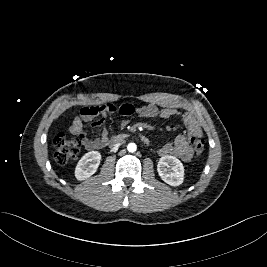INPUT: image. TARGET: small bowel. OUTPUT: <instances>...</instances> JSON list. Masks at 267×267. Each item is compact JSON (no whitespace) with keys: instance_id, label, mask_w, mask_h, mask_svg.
Returning <instances> with one entry per match:
<instances>
[{"instance_id":"small-bowel-1","label":"small bowel","mask_w":267,"mask_h":267,"mask_svg":"<svg viewBox=\"0 0 267 267\" xmlns=\"http://www.w3.org/2000/svg\"><path fill=\"white\" fill-rule=\"evenodd\" d=\"M111 112H116L122 116H130L138 114L145 118H179L185 127L186 135H178L174 142L165 144L160 150L161 156H175L183 161H188L192 157L193 150L190 145V138L201 137L202 129L197 119L191 113L180 114L174 108H158L154 104H147L139 108H135L131 104H122L114 106L111 104H99L83 107L79 114L76 115L71 126V132L75 136L83 137V144L88 150H97L105 147L109 141L108 131L102 128L107 115ZM84 123H90L92 127L100 130V135L97 138L89 139L84 131ZM124 121L122 122V124Z\"/></svg>"}]
</instances>
